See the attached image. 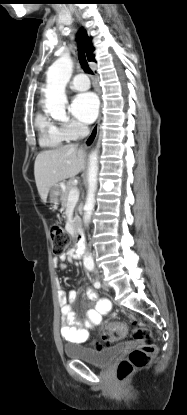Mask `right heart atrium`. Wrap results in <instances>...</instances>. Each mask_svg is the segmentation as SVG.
<instances>
[{
	"mask_svg": "<svg viewBox=\"0 0 187 415\" xmlns=\"http://www.w3.org/2000/svg\"><path fill=\"white\" fill-rule=\"evenodd\" d=\"M61 129L67 140H75L85 132V127L74 120L62 123Z\"/></svg>",
	"mask_w": 187,
	"mask_h": 415,
	"instance_id": "1",
	"label": "right heart atrium"
}]
</instances>
